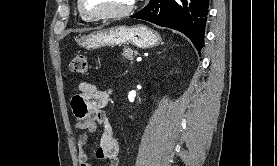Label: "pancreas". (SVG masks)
<instances>
[{
    "instance_id": "1",
    "label": "pancreas",
    "mask_w": 277,
    "mask_h": 166,
    "mask_svg": "<svg viewBox=\"0 0 277 166\" xmlns=\"http://www.w3.org/2000/svg\"><path fill=\"white\" fill-rule=\"evenodd\" d=\"M136 54H138V52L134 51L130 48H124L123 53H122V55H123L124 59H126V61H133L134 55H136Z\"/></svg>"
}]
</instances>
